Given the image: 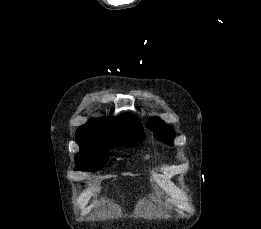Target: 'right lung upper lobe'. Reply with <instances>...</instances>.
I'll use <instances>...</instances> for the list:
<instances>
[{
	"mask_svg": "<svg viewBox=\"0 0 261 229\" xmlns=\"http://www.w3.org/2000/svg\"><path fill=\"white\" fill-rule=\"evenodd\" d=\"M129 125H141V123L131 113H124L115 119L91 120L77 130V142L80 148L109 149L125 146L126 141L119 131Z\"/></svg>",
	"mask_w": 261,
	"mask_h": 229,
	"instance_id": "cb5924a9",
	"label": "right lung upper lobe"
}]
</instances>
